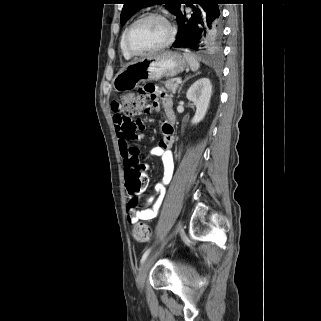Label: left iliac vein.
<instances>
[{
	"instance_id": "4c4485c4",
	"label": "left iliac vein",
	"mask_w": 321,
	"mask_h": 321,
	"mask_svg": "<svg viewBox=\"0 0 321 321\" xmlns=\"http://www.w3.org/2000/svg\"><path fill=\"white\" fill-rule=\"evenodd\" d=\"M182 229V222L179 221L174 230L172 231V233L163 241L162 245H165L173 236H175L180 230ZM151 260L152 257L149 256L148 258H146V260L144 261L142 268L140 270V274H139V287L141 290H143L144 288V283H145V279L148 273V270L150 268V264H151Z\"/></svg>"
}]
</instances>
